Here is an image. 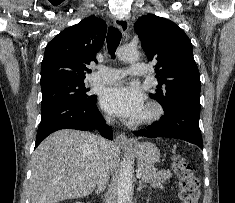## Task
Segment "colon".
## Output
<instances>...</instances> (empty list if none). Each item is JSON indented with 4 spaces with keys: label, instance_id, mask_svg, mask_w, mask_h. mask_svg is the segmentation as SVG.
Wrapping results in <instances>:
<instances>
[{
    "label": "colon",
    "instance_id": "5ec220e1",
    "mask_svg": "<svg viewBox=\"0 0 235 203\" xmlns=\"http://www.w3.org/2000/svg\"><path fill=\"white\" fill-rule=\"evenodd\" d=\"M172 168L179 181V196L182 203H198L200 197L199 181L189 162L175 153L172 156Z\"/></svg>",
    "mask_w": 235,
    "mask_h": 203
}]
</instances>
